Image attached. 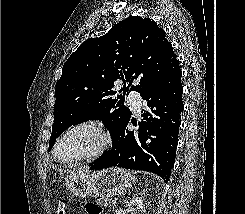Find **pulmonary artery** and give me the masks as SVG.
I'll list each match as a JSON object with an SVG mask.
<instances>
[{
	"label": "pulmonary artery",
	"instance_id": "e3ab8cb5",
	"mask_svg": "<svg viewBox=\"0 0 245 214\" xmlns=\"http://www.w3.org/2000/svg\"><path fill=\"white\" fill-rule=\"evenodd\" d=\"M128 102L131 104V106L133 107V110L136 113H138L140 111V108L143 104V100H142L140 94L137 92L130 93V95L128 96Z\"/></svg>",
	"mask_w": 245,
	"mask_h": 214
}]
</instances>
